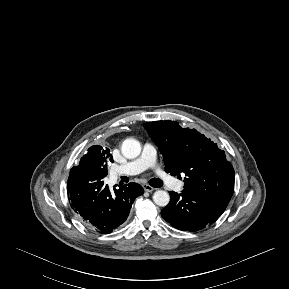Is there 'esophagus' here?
Returning a JSON list of instances; mask_svg holds the SVG:
<instances>
[{"instance_id": "esophagus-1", "label": "esophagus", "mask_w": 289, "mask_h": 289, "mask_svg": "<svg viewBox=\"0 0 289 289\" xmlns=\"http://www.w3.org/2000/svg\"><path fill=\"white\" fill-rule=\"evenodd\" d=\"M143 188L146 192H152L155 190V188H153L152 186L148 185V184H144Z\"/></svg>"}]
</instances>
